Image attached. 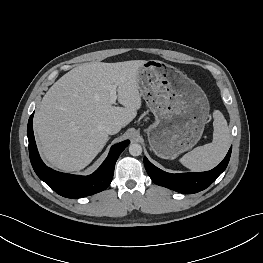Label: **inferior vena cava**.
<instances>
[{
	"label": "inferior vena cava",
	"mask_w": 263,
	"mask_h": 263,
	"mask_svg": "<svg viewBox=\"0 0 263 263\" xmlns=\"http://www.w3.org/2000/svg\"><path fill=\"white\" fill-rule=\"evenodd\" d=\"M122 128V125L119 122H111L105 126V131L110 134L118 133Z\"/></svg>",
	"instance_id": "602c4592"
}]
</instances>
